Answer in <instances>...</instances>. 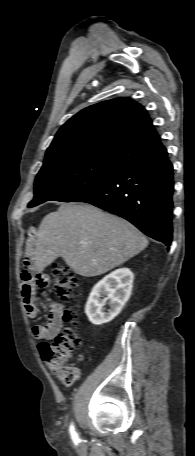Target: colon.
Returning a JSON list of instances; mask_svg holds the SVG:
<instances>
[{"label": "colon", "mask_w": 195, "mask_h": 456, "mask_svg": "<svg viewBox=\"0 0 195 456\" xmlns=\"http://www.w3.org/2000/svg\"><path fill=\"white\" fill-rule=\"evenodd\" d=\"M54 286L63 301H69L77 296L79 280L75 272L68 266L54 264L52 267ZM75 311L70 308L61 310V318L64 322H73ZM79 337L73 327H65L63 331L56 335L52 342H42L39 344V351L42 359L48 368L65 385H72L78 379L77 368L69 364Z\"/></svg>", "instance_id": "5ec220e1"}]
</instances>
